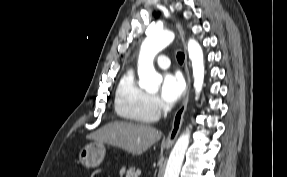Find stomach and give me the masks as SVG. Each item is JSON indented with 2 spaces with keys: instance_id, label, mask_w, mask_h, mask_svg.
<instances>
[{
  "instance_id": "1",
  "label": "stomach",
  "mask_w": 287,
  "mask_h": 177,
  "mask_svg": "<svg viewBox=\"0 0 287 177\" xmlns=\"http://www.w3.org/2000/svg\"><path fill=\"white\" fill-rule=\"evenodd\" d=\"M105 151L103 143L87 144L79 152V162L86 168H94L104 159Z\"/></svg>"
}]
</instances>
